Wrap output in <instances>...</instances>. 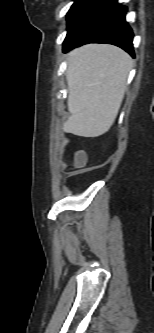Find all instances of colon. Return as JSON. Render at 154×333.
<instances>
[{"mask_svg": "<svg viewBox=\"0 0 154 333\" xmlns=\"http://www.w3.org/2000/svg\"><path fill=\"white\" fill-rule=\"evenodd\" d=\"M85 157L82 153H78L75 157L74 168L71 170L70 174H77L80 169L84 166Z\"/></svg>", "mask_w": 154, "mask_h": 333, "instance_id": "1", "label": "colon"}]
</instances>
